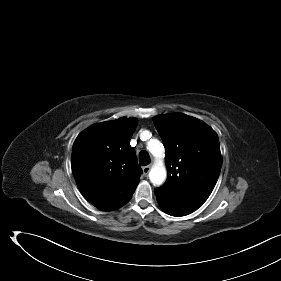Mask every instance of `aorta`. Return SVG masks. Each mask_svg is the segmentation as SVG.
Instances as JSON below:
<instances>
[{"mask_svg": "<svg viewBox=\"0 0 281 281\" xmlns=\"http://www.w3.org/2000/svg\"><path fill=\"white\" fill-rule=\"evenodd\" d=\"M147 149L156 159L149 172V179L153 185H162L167 177V171L162 161L164 147L158 139H150L147 142Z\"/></svg>", "mask_w": 281, "mask_h": 281, "instance_id": "aorta-1", "label": "aorta"}]
</instances>
